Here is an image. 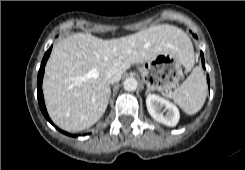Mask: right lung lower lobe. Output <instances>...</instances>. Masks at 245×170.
<instances>
[{
    "label": "right lung lower lobe",
    "instance_id": "98d812e1",
    "mask_svg": "<svg viewBox=\"0 0 245 170\" xmlns=\"http://www.w3.org/2000/svg\"><path fill=\"white\" fill-rule=\"evenodd\" d=\"M51 49H52V47L45 53L44 58L41 62V67H40L39 72H38L37 90H38V103H39L40 109H41L43 115L45 116V118L51 124H53L52 121L50 120L48 114H47L45 103H44V98H43V92H42V80H43V75H44L45 64H46V61H47V59L51 53ZM65 134L69 135L66 132H65Z\"/></svg>",
    "mask_w": 245,
    "mask_h": 170
}]
</instances>
